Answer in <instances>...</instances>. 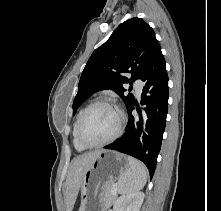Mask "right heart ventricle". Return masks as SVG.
<instances>
[{
    "instance_id": "1",
    "label": "right heart ventricle",
    "mask_w": 221,
    "mask_h": 211,
    "mask_svg": "<svg viewBox=\"0 0 221 211\" xmlns=\"http://www.w3.org/2000/svg\"><path fill=\"white\" fill-rule=\"evenodd\" d=\"M86 107H83L79 110L77 116H76V119L74 121V126H73V144L75 146V148L78 150V151H83L86 149V147H84L78 140V137H77V129H78V123H79V119L81 117V114L83 113V111L85 110Z\"/></svg>"
}]
</instances>
